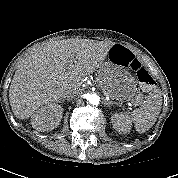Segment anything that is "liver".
I'll return each instance as SVG.
<instances>
[{
  "instance_id": "obj_1",
  "label": "liver",
  "mask_w": 178,
  "mask_h": 178,
  "mask_svg": "<svg viewBox=\"0 0 178 178\" xmlns=\"http://www.w3.org/2000/svg\"><path fill=\"white\" fill-rule=\"evenodd\" d=\"M111 41L63 39L50 41L28 56L17 68L9 89V101L18 119H27L44 104L80 89L88 75L104 62Z\"/></svg>"
}]
</instances>
